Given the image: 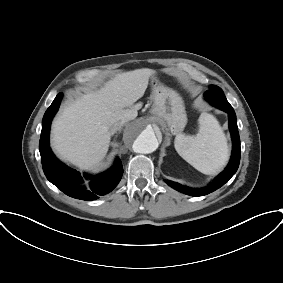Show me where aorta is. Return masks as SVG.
Returning a JSON list of instances; mask_svg holds the SVG:
<instances>
[{
	"mask_svg": "<svg viewBox=\"0 0 283 283\" xmlns=\"http://www.w3.org/2000/svg\"><path fill=\"white\" fill-rule=\"evenodd\" d=\"M124 141L134 152L149 154L158 148V140L153 127L140 121L129 125L124 134Z\"/></svg>",
	"mask_w": 283,
	"mask_h": 283,
	"instance_id": "obj_1",
	"label": "aorta"
}]
</instances>
